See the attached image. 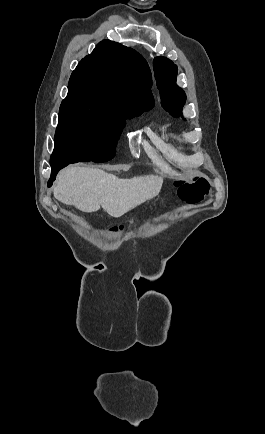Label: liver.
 I'll use <instances>...</instances> for the list:
<instances>
[{
    "mask_svg": "<svg viewBox=\"0 0 265 434\" xmlns=\"http://www.w3.org/2000/svg\"><path fill=\"white\" fill-rule=\"evenodd\" d=\"M162 184V176L121 180L97 168L68 166L59 172L53 194L62 204L75 206L81 212H97L102 206L109 216L120 218L158 196Z\"/></svg>",
    "mask_w": 265,
    "mask_h": 434,
    "instance_id": "1",
    "label": "liver"
}]
</instances>
